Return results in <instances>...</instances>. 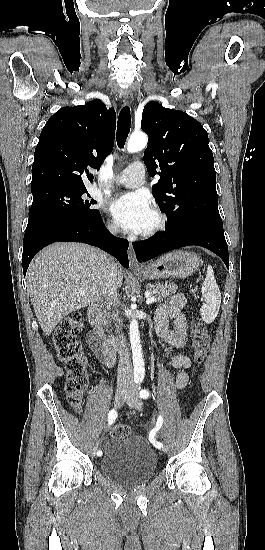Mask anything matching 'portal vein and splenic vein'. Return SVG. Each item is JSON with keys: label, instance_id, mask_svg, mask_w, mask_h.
Listing matches in <instances>:
<instances>
[{"label": "portal vein and splenic vein", "instance_id": "obj_1", "mask_svg": "<svg viewBox=\"0 0 265 550\" xmlns=\"http://www.w3.org/2000/svg\"><path fill=\"white\" fill-rule=\"evenodd\" d=\"M81 294H83V292H81ZM154 301H155L154 297H148L147 300H146V303L148 305H150V304L154 303Z\"/></svg>", "mask_w": 265, "mask_h": 550}]
</instances>
